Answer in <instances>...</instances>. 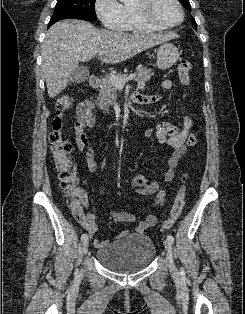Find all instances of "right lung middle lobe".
Here are the masks:
<instances>
[{"instance_id":"1","label":"right lung middle lobe","mask_w":245,"mask_h":314,"mask_svg":"<svg viewBox=\"0 0 245 314\" xmlns=\"http://www.w3.org/2000/svg\"><path fill=\"white\" fill-rule=\"evenodd\" d=\"M96 0H57L50 22L62 19L97 20L95 13Z\"/></svg>"}]
</instances>
